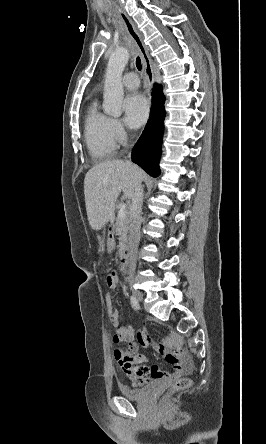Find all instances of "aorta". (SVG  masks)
Wrapping results in <instances>:
<instances>
[{
  "label": "aorta",
  "mask_w": 266,
  "mask_h": 444,
  "mask_svg": "<svg viewBox=\"0 0 266 444\" xmlns=\"http://www.w3.org/2000/svg\"><path fill=\"white\" fill-rule=\"evenodd\" d=\"M129 60L126 48L115 50L109 57L104 83V113L118 117L122 113L123 86L121 82L124 68Z\"/></svg>",
  "instance_id": "1"
}]
</instances>
